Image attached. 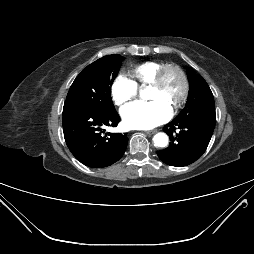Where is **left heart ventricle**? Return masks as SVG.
I'll use <instances>...</instances> for the list:
<instances>
[{
	"label": "left heart ventricle",
	"mask_w": 254,
	"mask_h": 254,
	"mask_svg": "<svg viewBox=\"0 0 254 254\" xmlns=\"http://www.w3.org/2000/svg\"><path fill=\"white\" fill-rule=\"evenodd\" d=\"M181 93V80L177 73L168 71L163 78V84L159 88L150 87L147 98L156 100L168 109H172Z\"/></svg>",
	"instance_id": "left-heart-ventricle-1"
}]
</instances>
